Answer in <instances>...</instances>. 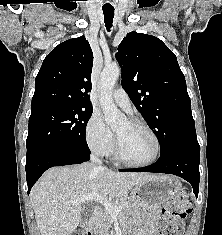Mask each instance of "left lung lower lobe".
Returning <instances> with one entry per match:
<instances>
[{
  "instance_id": "1",
  "label": "left lung lower lobe",
  "mask_w": 222,
  "mask_h": 235,
  "mask_svg": "<svg viewBox=\"0 0 222 235\" xmlns=\"http://www.w3.org/2000/svg\"><path fill=\"white\" fill-rule=\"evenodd\" d=\"M199 153L200 149L178 148L164 155H160L158 161L148 167L121 169L120 171L155 172L179 176L192 185L194 194L197 198L200 180Z\"/></svg>"
}]
</instances>
